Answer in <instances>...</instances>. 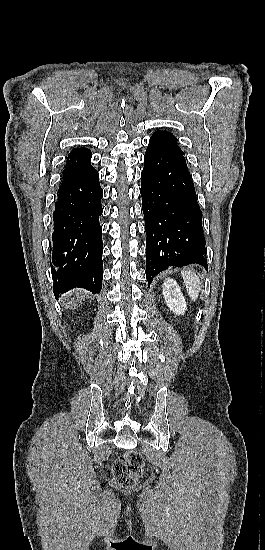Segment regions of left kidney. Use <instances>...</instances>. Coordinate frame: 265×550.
I'll return each mask as SVG.
<instances>
[{
  "label": "left kidney",
  "mask_w": 265,
  "mask_h": 550,
  "mask_svg": "<svg viewBox=\"0 0 265 550\" xmlns=\"http://www.w3.org/2000/svg\"><path fill=\"white\" fill-rule=\"evenodd\" d=\"M163 296L170 311L175 315H183L187 310L186 301L179 285L173 279L167 278L163 283Z\"/></svg>",
  "instance_id": "1"
}]
</instances>
